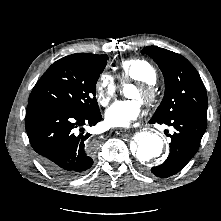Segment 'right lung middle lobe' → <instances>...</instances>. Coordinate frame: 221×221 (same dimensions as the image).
I'll return each instance as SVG.
<instances>
[{
  "mask_svg": "<svg viewBox=\"0 0 221 221\" xmlns=\"http://www.w3.org/2000/svg\"><path fill=\"white\" fill-rule=\"evenodd\" d=\"M107 55H69L54 62L34 86L28 102H41L81 115L99 113L95 87Z\"/></svg>",
  "mask_w": 221,
  "mask_h": 221,
  "instance_id": "obj_1",
  "label": "right lung middle lobe"
}]
</instances>
